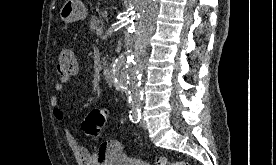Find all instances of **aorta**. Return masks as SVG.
Instances as JSON below:
<instances>
[{"label": "aorta", "instance_id": "1", "mask_svg": "<svg viewBox=\"0 0 276 165\" xmlns=\"http://www.w3.org/2000/svg\"><path fill=\"white\" fill-rule=\"evenodd\" d=\"M159 0H131V23L126 51L110 65L109 74L116 88L127 92L131 102L142 98L140 75L141 54L154 33Z\"/></svg>", "mask_w": 276, "mask_h": 165}]
</instances>
